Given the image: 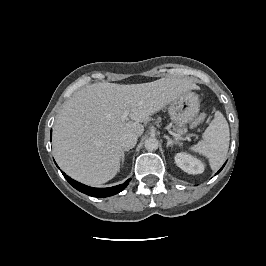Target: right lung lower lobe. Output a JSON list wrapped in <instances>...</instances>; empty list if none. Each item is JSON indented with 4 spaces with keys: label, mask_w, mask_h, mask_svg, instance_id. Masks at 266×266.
Here are the masks:
<instances>
[{
    "label": "right lung lower lobe",
    "mask_w": 266,
    "mask_h": 266,
    "mask_svg": "<svg viewBox=\"0 0 266 266\" xmlns=\"http://www.w3.org/2000/svg\"><path fill=\"white\" fill-rule=\"evenodd\" d=\"M65 179L78 191L85 193L92 197H108L115 195L119 192H121L123 189H125L130 182L131 179H128L125 183L120 184L118 186L109 187V188H93L89 187L87 185L81 184L73 179H71L69 176H67L64 172H62Z\"/></svg>",
    "instance_id": "right-lung-lower-lobe-1"
}]
</instances>
